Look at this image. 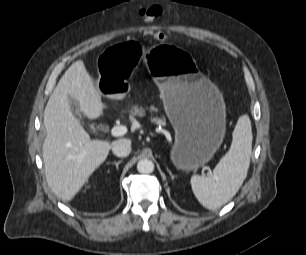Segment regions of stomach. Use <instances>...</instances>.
<instances>
[{
  "instance_id": "stomach-1",
  "label": "stomach",
  "mask_w": 306,
  "mask_h": 255,
  "mask_svg": "<svg viewBox=\"0 0 306 255\" xmlns=\"http://www.w3.org/2000/svg\"><path fill=\"white\" fill-rule=\"evenodd\" d=\"M133 41L106 48L97 59L100 94L122 99L130 91L126 79L140 59ZM143 61L153 72L166 114L175 130L171 160L178 169L194 170L207 163L225 135V104L214 84L197 72L193 58L183 50L152 45Z\"/></svg>"
}]
</instances>
